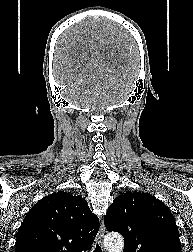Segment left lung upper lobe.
I'll use <instances>...</instances> for the list:
<instances>
[{"label":"left lung upper lobe","mask_w":193,"mask_h":252,"mask_svg":"<svg viewBox=\"0 0 193 252\" xmlns=\"http://www.w3.org/2000/svg\"><path fill=\"white\" fill-rule=\"evenodd\" d=\"M108 231L119 232L124 252H181L179 231L170 209L149 193L119 195L104 217Z\"/></svg>","instance_id":"obj_1"}]
</instances>
